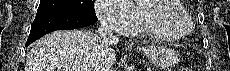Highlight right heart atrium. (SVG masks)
<instances>
[{
	"instance_id": "1",
	"label": "right heart atrium",
	"mask_w": 230,
	"mask_h": 71,
	"mask_svg": "<svg viewBox=\"0 0 230 71\" xmlns=\"http://www.w3.org/2000/svg\"><path fill=\"white\" fill-rule=\"evenodd\" d=\"M95 12L103 25L117 33L125 34L136 28V15L124 0H96Z\"/></svg>"
}]
</instances>
